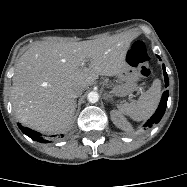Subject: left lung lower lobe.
I'll use <instances>...</instances> for the list:
<instances>
[{
	"label": "left lung lower lobe",
	"mask_w": 187,
	"mask_h": 187,
	"mask_svg": "<svg viewBox=\"0 0 187 187\" xmlns=\"http://www.w3.org/2000/svg\"><path fill=\"white\" fill-rule=\"evenodd\" d=\"M160 59V57H158ZM161 60V59H160ZM163 68V73H164V77H165V87H167L169 85V80H168V75L166 73L165 70V66L164 64L162 65ZM168 95L169 92L168 90L165 91L162 95L160 104L156 110V112L153 114V116L143 125L144 127H152L153 125L157 124L161 118L164 115V112L166 110V106H167V100H168Z\"/></svg>",
	"instance_id": "1"
}]
</instances>
